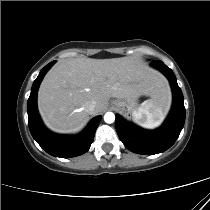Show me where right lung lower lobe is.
<instances>
[{
  "label": "right lung lower lobe",
  "mask_w": 210,
  "mask_h": 210,
  "mask_svg": "<svg viewBox=\"0 0 210 210\" xmlns=\"http://www.w3.org/2000/svg\"><path fill=\"white\" fill-rule=\"evenodd\" d=\"M54 63L47 64L32 85L27 103L28 125L31 135L43 150L55 157L70 158L89 150L101 116L95 117L82 133L75 136L57 135L45 128L37 111V91L44 75Z\"/></svg>",
  "instance_id": "right-lung-lower-lobe-1"
}]
</instances>
